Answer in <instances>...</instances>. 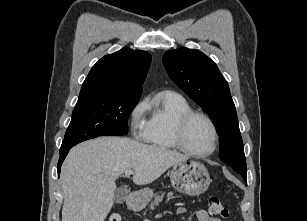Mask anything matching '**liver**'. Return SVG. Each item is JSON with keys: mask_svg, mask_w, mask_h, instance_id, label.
<instances>
[{"mask_svg": "<svg viewBox=\"0 0 307 221\" xmlns=\"http://www.w3.org/2000/svg\"><path fill=\"white\" fill-rule=\"evenodd\" d=\"M187 159L181 153L129 138L83 142L70 150L62 165V221H104L113 206L115 181L126 170H134L135 184L145 185Z\"/></svg>", "mask_w": 307, "mask_h": 221, "instance_id": "obj_1", "label": "liver"}]
</instances>
